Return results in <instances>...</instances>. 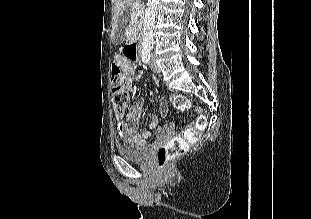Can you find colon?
<instances>
[{"label":"colon","mask_w":311,"mask_h":219,"mask_svg":"<svg viewBox=\"0 0 311 219\" xmlns=\"http://www.w3.org/2000/svg\"><path fill=\"white\" fill-rule=\"evenodd\" d=\"M126 55L135 59L137 51L128 48ZM113 84V107L117 118H123L127 106V92L125 90V75L117 64L112 65L111 70ZM173 106L180 111L191 108L190 100L183 95H174L172 97ZM206 126V117L198 111V116L193 126L187 128L182 136H175L166 145L160 147L156 154V160L161 170H166L168 165L175 158L183 155L190 144H195L199 138L201 131Z\"/></svg>","instance_id":"1"}]
</instances>
